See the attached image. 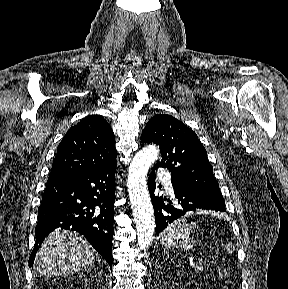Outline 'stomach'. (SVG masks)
I'll return each mask as SVG.
<instances>
[{
  "label": "stomach",
  "mask_w": 288,
  "mask_h": 289,
  "mask_svg": "<svg viewBox=\"0 0 288 289\" xmlns=\"http://www.w3.org/2000/svg\"><path fill=\"white\" fill-rule=\"evenodd\" d=\"M195 243V240L193 237H190L189 235L181 238L180 240L176 241L175 243L171 245H167L168 248H178L182 247L185 250L191 249Z\"/></svg>",
  "instance_id": "0dacf381"
}]
</instances>
